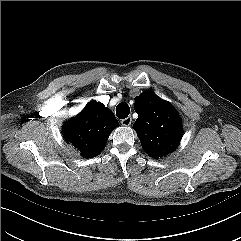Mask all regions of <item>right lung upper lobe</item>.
<instances>
[{
	"label": "right lung upper lobe",
	"mask_w": 241,
	"mask_h": 241,
	"mask_svg": "<svg viewBox=\"0 0 241 241\" xmlns=\"http://www.w3.org/2000/svg\"><path fill=\"white\" fill-rule=\"evenodd\" d=\"M118 125L109 108L99 102H90L81 113L64 123L62 134L83 157L91 158L101 153L110 133Z\"/></svg>",
	"instance_id": "1"
}]
</instances>
